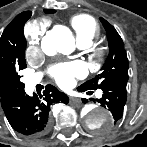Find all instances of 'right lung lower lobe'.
Returning a JSON list of instances; mask_svg holds the SVG:
<instances>
[{
	"label": "right lung lower lobe",
	"mask_w": 147,
	"mask_h": 147,
	"mask_svg": "<svg viewBox=\"0 0 147 147\" xmlns=\"http://www.w3.org/2000/svg\"><path fill=\"white\" fill-rule=\"evenodd\" d=\"M69 102L68 96L56 87L47 85L43 95L32 97L25 94L16 96L2 105L11 127L25 136L38 137L49 128L48 114L55 102Z\"/></svg>",
	"instance_id": "98d812e1"
}]
</instances>
